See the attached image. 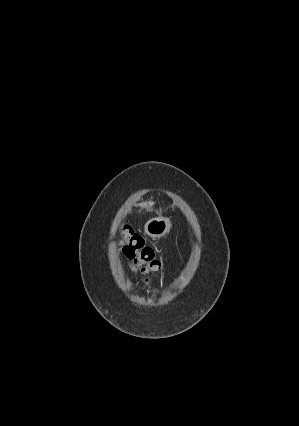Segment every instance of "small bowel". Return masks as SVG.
Segmentation results:
<instances>
[{"mask_svg":"<svg viewBox=\"0 0 299 426\" xmlns=\"http://www.w3.org/2000/svg\"><path fill=\"white\" fill-rule=\"evenodd\" d=\"M127 262H128V266H129V268H130V270L134 273V274H137L138 273V267L134 264V263H132L129 259L127 260Z\"/></svg>","mask_w":299,"mask_h":426,"instance_id":"obj_1","label":"small bowel"}]
</instances>
